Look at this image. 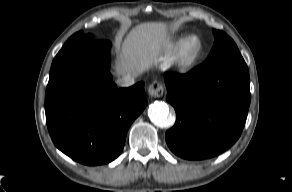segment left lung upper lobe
<instances>
[{
	"label": "left lung upper lobe",
	"mask_w": 292,
	"mask_h": 192,
	"mask_svg": "<svg viewBox=\"0 0 292 192\" xmlns=\"http://www.w3.org/2000/svg\"><path fill=\"white\" fill-rule=\"evenodd\" d=\"M214 46L205 62H211L224 57L242 58L234 41L224 32L213 29Z\"/></svg>",
	"instance_id": "5c2ea615"
}]
</instances>
